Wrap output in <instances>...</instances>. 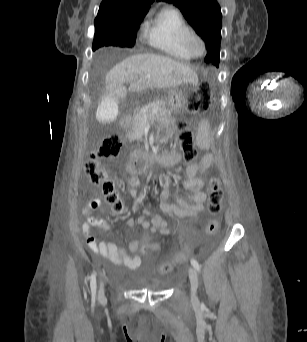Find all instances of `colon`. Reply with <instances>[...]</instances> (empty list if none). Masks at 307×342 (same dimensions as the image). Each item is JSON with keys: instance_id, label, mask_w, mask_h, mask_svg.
<instances>
[{"instance_id": "obj_1", "label": "colon", "mask_w": 307, "mask_h": 342, "mask_svg": "<svg viewBox=\"0 0 307 342\" xmlns=\"http://www.w3.org/2000/svg\"><path fill=\"white\" fill-rule=\"evenodd\" d=\"M198 88L200 94H204L200 101L191 100L187 103V112L189 114L203 113L210 105V96L212 89L210 82H199ZM178 139L187 161H195L198 156V149L193 144L192 132L188 129L185 122L178 124ZM124 139L118 134L105 136L95 147L91 148L88 158L84 162V172L88 176L92 185L100 186L105 195L106 202L111 206V213L119 215L123 212V203L115 191L114 184L108 180L106 172L102 166V162L114 159L119 154L124 144ZM208 211L211 216L206 232L209 235H215L219 229V222L216 216L222 210L223 190L222 180L217 175L210 177L208 186ZM148 251H158L161 245L148 244L144 247ZM183 255V252H180ZM177 265H185V258L179 256L176 261ZM174 268L171 262H164L159 267V273L163 275L169 274Z\"/></svg>"}]
</instances>
